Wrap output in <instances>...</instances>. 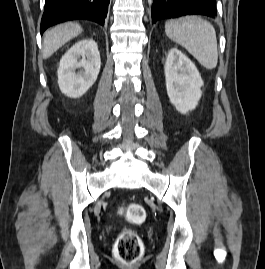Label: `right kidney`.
<instances>
[{
    "mask_svg": "<svg viewBox=\"0 0 265 269\" xmlns=\"http://www.w3.org/2000/svg\"><path fill=\"white\" fill-rule=\"evenodd\" d=\"M100 66L97 43L93 39L78 41L60 60L58 85L61 92L71 98L81 97L95 83Z\"/></svg>",
    "mask_w": 265,
    "mask_h": 269,
    "instance_id": "ca27d5eb",
    "label": "right kidney"
}]
</instances>
